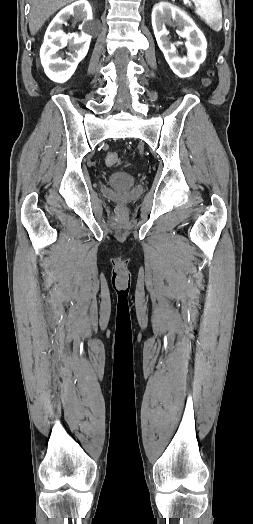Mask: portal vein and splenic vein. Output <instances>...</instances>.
Masks as SVG:
<instances>
[{
    "mask_svg": "<svg viewBox=\"0 0 253 524\" xmlns=\"http://www.w3.org/2000/svg\"><path fill=\"white\" fill-rule=\"evenodd\" d=\"M184 3H189V0H184Z\"/></svg>",
    "mask_w": 253,
    "mask_h": 524,
    "instance_id": "18ae733b",
    "label": "portal vein and splenic vein"
}]
</instances>
